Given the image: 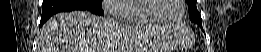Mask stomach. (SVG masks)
<instances>
[{"label":"stomach","instance_id":"0dacf381","mask_svg":"<svg viewBox=\"0 0 261 52\" xmlns=\"http://www.w3.org/2000/svg\"><path fill=\"white\" fill-rule=\"evenodd\" d=\"M145 28H146V29H156V30H159V28H154V27H150V26H149V27H145ZM155 50H160V51H162V50H165V48H163V47H161V48L158 47V48H157V47H156Z\"/></svg>","mask_w":261,"mask_h":52}]
</instances>
